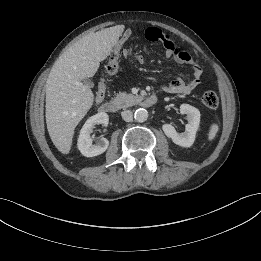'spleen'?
Here are the masks:
<instances>
[{
	"mask_svg": "<svg viewBox=\"0 0 261 261\" xmlns=\"http://www.w3.org/2000/svg\"><path fill=\"white\" fill-rule=\"evenodd\" d=\"M218 130H219L218 124L213 123V124L210 126L209 132H208V140H209V141H212V140L215 138V136H216Z\"/></svg>",
	"mask_w": 261,
	"mask_h": 261,
	"instance_id": "1",
	"label": "spleen"
}]
</instances>
